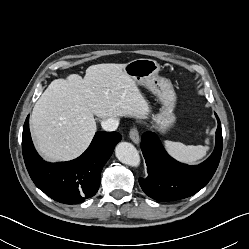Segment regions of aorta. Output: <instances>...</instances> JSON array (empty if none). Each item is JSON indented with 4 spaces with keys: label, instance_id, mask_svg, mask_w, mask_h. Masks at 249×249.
Wrapping results in <instances>:
<instances>
[{
    "label": "aorta",
    "instance_id": "obj_1",
    "mask_svg": "<svg viewBox=\"0 0 249 249\" xmlns=\"http://www.w3.org/2000/svg\"><path fill=\"white\" fill-rule=\"evenodd\" d=\"M116 157L126 165L137 167L140 163V156L137 149L128 142H120L115 148Z\"/></svg>",
    "mask_w": 249,
    "mask_h": 249
}]
</instances>
